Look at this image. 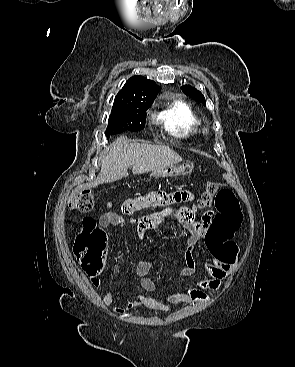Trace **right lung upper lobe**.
<instances>
[{
	"label": "right lung upper lobe",
	"instance_id": "1",
	"mask_svg": "<svg viewBox=\"0 0 295 367\" xmlns=\"http://www.w3.org/2000/svg\"><path fill=\"white\" fill-rule=\"evenodd\" d=\"M160 88L152 80L143 76H133L125 83L114 100V107H122L130 103H153Z\"/></svg>",
	"mask_w": 295,
	"mask_h": 367
}]
</instances>
